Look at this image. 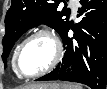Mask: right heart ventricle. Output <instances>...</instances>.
Masks as SVG:
<instances>
[{
    "instance_id": "1",
    "label": "right heart ventricle",
    "mask_w": 107,
    "mask_h": 89,
    "mask_svg": "<svg viewBox=\"0 0 107 89\" xmlns=\"http://www.w3.org/2000/svg\"><path fill=\"white\" fill-rule=\"evenodd\" d=\"M15 51H16V49H15ZM15 51H14V53H13V57H14ZM12 65H13V58H12Z\"/></svg>"
}]
</instances>
